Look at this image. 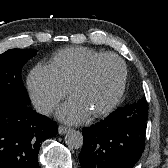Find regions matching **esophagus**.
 <instances>
[{"label":"esophagus","instance_id":"1","mask_svg":"<svg viewBox=\"0 0 168 168\" xmlns=\"http://www.w3.org/2000/svg\"><path fill=\"white\" fill-rule=\"evenodd\" d=\"M69 130H70L69 127H66V126H63V125H60V126L58 127V133H59L60 135H64V134L67 133Z\"/></svg>","mask_w":168,"mask_h":168}]
</instances>
